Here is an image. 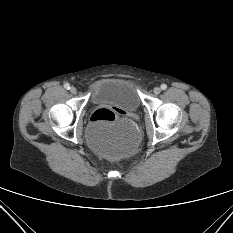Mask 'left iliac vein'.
Listing matches in <instances>:
<instances>
[{"label": "left iliac vein", "instance_id": "1", "mask_svg": "<svg viewBox=\"0 0 233 233\" xmlns=\"http://www.w3.org/2000/svg\"><path fill=\"white\" fill-rule=\"evenodd\" d=\"M160 92H161V89H160L159 87H155V88L153 89V93H154L155 95H158Z\"/></svg>", "mask_w": 233, "mask_h": 233}]
</instances>
